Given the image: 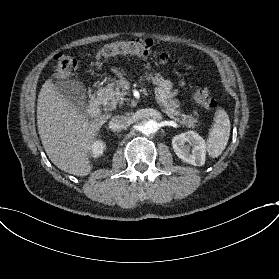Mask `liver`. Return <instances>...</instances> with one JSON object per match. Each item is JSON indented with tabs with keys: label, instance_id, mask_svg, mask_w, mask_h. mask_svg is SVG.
<instances>
[{
	"label": "liver",
	"instance_id": "1",
	"mask_svg": "<svg viewBox=\"0 0 279 279\" xmlns=\"http://www.w3.org/2000/svg\"><path fill=\"white\" fill-rule=\"evenodd\" d=\"M62 66L41 88L37 102V125L45 152L60 170L78 177L92 172L91 144L96 141L109 117L91 120L55 87L53 79L63 75Z\"/></svg>",
	"mask_w": 279,
	"mask_h": 279
}]
</instances>
